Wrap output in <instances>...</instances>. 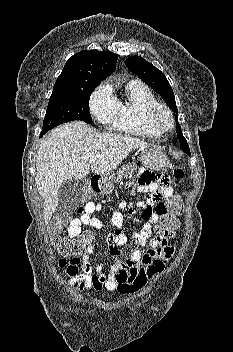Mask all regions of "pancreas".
Masks as SVG:
<instances>
[{"mask_svg": "<svg viewBox=\"0 0 233 352\" xmlns=\"http://www.w3.org/2000/svg\"><path fill=\"white\" fill-rule=\"evenodd\" d=\"M136 169L137 165L135 163H127L126 165H123L116 173V180L120 181L124 178H132Z\"/></svg>", "mask_w": 233, "mask_h": 352, "instance_id": "cf45deb5", "label": "pancreas"}]
</instances>
